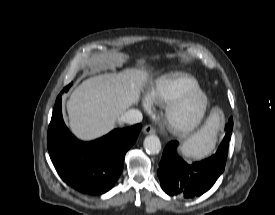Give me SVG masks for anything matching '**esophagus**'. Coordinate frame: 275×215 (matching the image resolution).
<instances>
[{
    "instance_id": "34e87169",
    "label": "esophagus",
    "mask_w": 275,
    "mask_h": 215,
    "mask_svg": "<svg viewBox=\"0 0 275 215\" xmlns=\"http://www.w3.org/2000/svg\"><path fill=\"white\" fill-rule=\"evenodd\" d=\"M143 133L144 134H154L155 133V128L152 125H146L143 128Z\"/></svg>"
}]
</instances>
